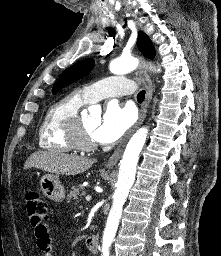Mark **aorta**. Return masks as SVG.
<instances>
[{"mask_svg": "<svg viewBox=\"0 0 221 256\" xmlns=\"http://www.w3.org/2000/svg\"><path fill=\"white\" fill-rule=\"evenodd\" d=\"M138 62L133 57H119L113 60L109 69L113 74L120 75L133 71ZM148 128L142 127L136 131L128 142L120 162L119 176L116 190L113 194V203L104 230L102 253L109 256V248L116 234L122 214V208L135 181L136 167L140 152L145 144Z\"/></svg>", "mask_w": 221, "mask_h": 256, "instance_id": "obj_1", "label": "aorta"}]
</instances>
